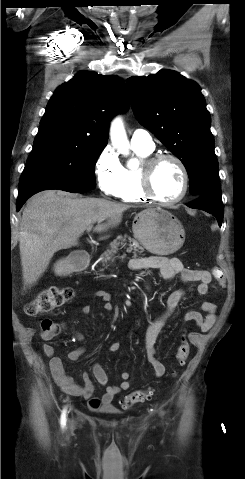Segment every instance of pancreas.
I'll list each match as a JSON object with an SVG mask.
<instances>
[{"mask_svg": "<svg viewBox=\"0 0 245 479\" xmlns=\"http://www.w3.org/2000/svg\"><path fill=\"white\" fill-rule=\"evenodd\" d=\"M128 239L129 241V248L127 249V252H131V251H134V257H137V253L139 252H142L140 250H142V248H138L139 246V243L137 240L127 236V235H124V236H117V238L115 240H113V242L110 243V246L109 248L102 253L101 255V263L103 266L107 267L108 266V263L113 259V257L115 256V254L117 253V251L119 250V247H124L126 245V240ZM102 271V270H101Z\"/></svg>", "mask_w": 245, "mask_h": 479, "instance_id": "pancreas-1", "label": "pancreas"}]
</instances>
